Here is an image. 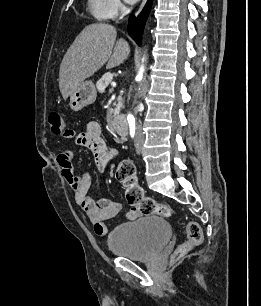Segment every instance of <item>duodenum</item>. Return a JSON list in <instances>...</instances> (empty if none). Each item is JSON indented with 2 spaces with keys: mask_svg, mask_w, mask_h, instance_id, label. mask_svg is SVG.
<instances>
[{
  "mask_svg": "<svg viewBox=\"0 0 261 306\" xmlns=\"http://www.w3.org/2000/svg\"><path fill=\"white\" fill-rule=\"evenodd\" d=\"M112 124L116 132L120 135L126 136L128 134V123L122 115H115L113 117Z\"/></svg>",
  "mask_w": 261,
  "mask_h": 306,
  "instance_id": "1",
  "label": "duodenum"
}]
</instances>
